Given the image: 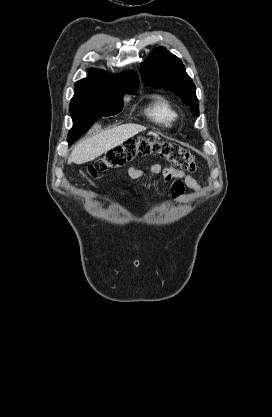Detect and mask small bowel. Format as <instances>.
Here are the masks:
<instances>
[{"instance_id":"small-bowel-1","label":"small bowel","mask_w":272,"mask_h":417,"mask_svg":"<svg viewBox=\"0 0 272 417\" xmlns=\"http://www.w3.org/2000/svg\"><path fill=\"white\" fill-rule=\"evenodd\" d=\"M127 172L129 177L134 180L141 179L147 175L161 176L164 181L170 183L172 197L175 201H179L183 197L185 188H189L197 193L201 191V186L192 176L173 167L153 164L147 169H141L136 166H130Z\"/></svg>"}]
</instances>
